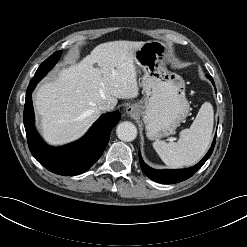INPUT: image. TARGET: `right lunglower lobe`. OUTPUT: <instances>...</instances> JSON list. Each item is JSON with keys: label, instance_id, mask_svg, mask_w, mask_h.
Wrapping results in <instances>:
<instances>
[{"label": "right lung lower lobe", "instance_id": "obj_1", "mask_svg": "<svg viewBox=\"0 0 247 247\" xmlns=\"http://www.w3.org/2000/svg\"><path fill=\"white\" fill-rule=\"evenodd\" d=\"M38 80H31L26 92L24 126L29 149L35 159L49 171L74 176L87 171L102 155L112 128L120 120L118 111L104 114L81 140L59 148L46 145L35 131L31 92Z\"/></svg>", "mask_w": 247, "mask_h": 247}]
</instances>
